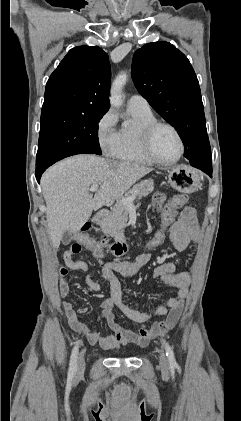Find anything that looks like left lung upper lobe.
Masks as SVG:
<instances>
[{
    "label": "left lung upper lobe",
    "mask_w": 241,
    "mask_h": 421,
    "mask_svg": "<svg viewBox=\"0 0 241 421\" xmlns=\"http://www.w3.org/2000/svg\"><path fill=\"white\" fill-rule=\"evenodd\" d=\"M132 75L139 93L179 133L184 156L211 162L199 82L187 57L168 42H152L133 56Z\"/></svg>",
    "instance_id": "left-lung-upper-lobe-1"
}]
</instances>
